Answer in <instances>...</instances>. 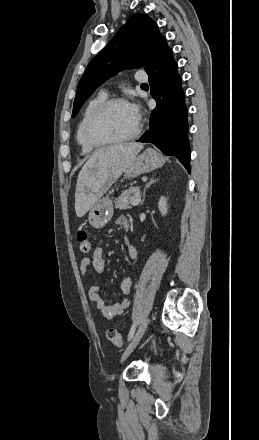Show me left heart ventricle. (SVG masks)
<instances>
[{
  "label": "left heart ventricle",
  "mask_w": 259,
  "mask_h": 440,
  "mask_svg": "<svg viewBox=\"0 0 259 440\" xmlns=\"http://www.w3.org/2000/svg\"><path fill=\"white\" fill-rule=\"evenodd\" d=\"M137 123L128 104H117L98 121L94 134L100 139L122 138L132 133Z\"/></svg>",
  "instance_id": "obj_1"
}]
</instances>
